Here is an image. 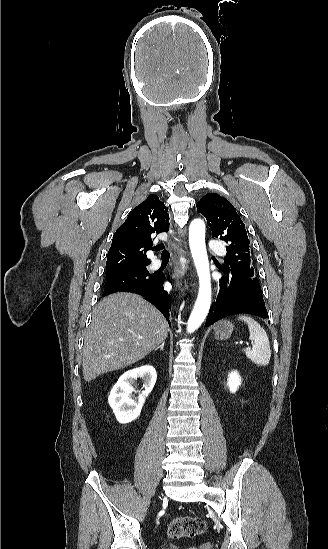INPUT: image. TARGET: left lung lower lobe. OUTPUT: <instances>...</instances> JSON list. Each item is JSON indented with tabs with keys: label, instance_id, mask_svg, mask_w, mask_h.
Segmentation results:
<instances>
[{
	"label": "left lung lower lobe",
	"instance_id": "0a47b994",
	"mask_svg": "<svg viewBox=\"0 0 328 549\" xmlns=\"http://www.w3.org/2000/svg\"><path fill=\"white\" fill-rule=\"evenodd\" d=\"M222 271L217 300L212 304L205 326L233 314H252L268 317L257 278L237 272Z\"/></svg>",
	"mask_w": 328,
	"mask_h": 549
}]
</instances>
